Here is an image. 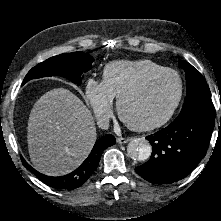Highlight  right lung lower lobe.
I'll use <instances>...</instances> for the list:
<instances>
[{"mask_svg": "<svg viewBox=\"0 0 221 221\" xmlns=\"http://www.w3.org/2000/svg\"><path fill=\"white\" fill-rule=\"evenodd\" d=\"M115 142L116 140L111 134L101 137L96 141L91 153L85 161L76 170L64 176L53 177L39 173L25 160H23V165L46 185L59 190H71L83 185L93 175L103 151L107 147L114 145Z\"/></svg>", "mask_w": 221, "mask_h": 221, "instance_id": "obj_1", "label": "right lung lower lobe"}]
</instances>
